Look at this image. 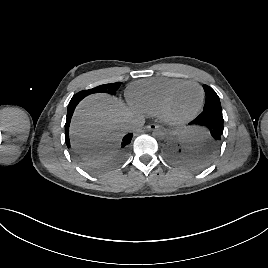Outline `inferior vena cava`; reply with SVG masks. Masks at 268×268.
I'll return each mask as SVG.
<instances>
[{
	"label": "inferior vena cava",
	"instance_id": "1",
	"mask_svg": "<svg viewBox=\"0 0 268 268\" xmlns=\"http://www.w3.org/2000/svg\"><path fill=\"white\" fill-rule=\"evenodd\" d=\"M136 122L137 121L135 119H132L127 125L128 130H132L135 127Z\"/></svg>",
	"mask_w": 268,
	"mask_h": 268
}]
</instances>
